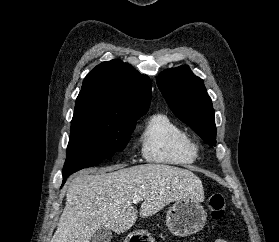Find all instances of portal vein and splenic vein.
Here are the masks:
<instances>
[{
  "instance_id": "obj_1",
  "label": "portal vein and splenic vein",
  "mask_w": 279,
  "mask_h": 242,
  "mask_svg": "<svg viewBox=\"0 0 279 242\" xmlns=\"http://www.w3.org/2000/svg\"><path fill=\"white\" fill-rule=\"evenodd\" d=\"M142 200L141 196L135 195L132 199L133 203L137 204Z\"/></svg>"
}]
</instances>
